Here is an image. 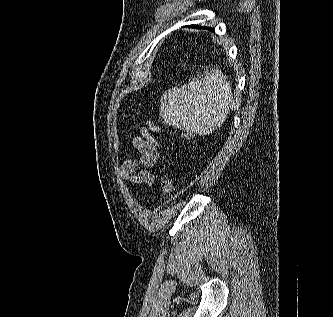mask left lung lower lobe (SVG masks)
<instances>
[{
	"label": "left lung lower lobe",
	"instance_id": "obj_1",
	"mask_svg": "<svg viewBox=\"0 0 333 317\" xmlns=\"http://www.w3.org/2000/svg\"><path fill=\"white\" fill-rule=\"evenodd\" d=\"M191 27H193V28H199V29L203 28V29H207V30H210V31L214 32V29L211 28V27L210 28L209 27H201L199 25H191Z\"/></svg>",
	"mask_w": 333,
	"mask_h": 317
}]
</instances>
